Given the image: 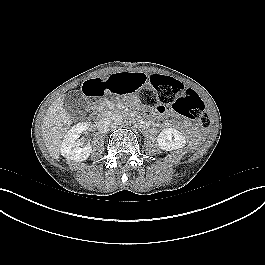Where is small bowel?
Wrapping results in <instances>:
<instances>
[{"label": "small bowel", "mask_w": 265, "mask_h": 265, "mask_svg": "<svg viewBox=\"0 0 265 265\" xmlns=\"http://www.w3.org/2000/svg\"><path fill=\"white\" fill-rule=\"evenodd\" d=\"M146 73L143 70L137 69L127 74H114L106 78H93L88 80L83 87L84 93L90 97L101 96L104 91L110 93H130L133 88H141L147 82ZM156 115L167 118L170 113L165 109H160L156 113H149L150 118H155Z\"/></svg>", "instance_id": "c3829d8e"}]
</instances>
